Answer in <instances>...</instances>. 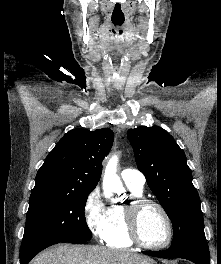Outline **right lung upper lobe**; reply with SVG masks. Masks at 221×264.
I'll use <instances>...</instances> for the list:
<instances>
[{
    "mask_svg": "<svg viewBox=\"0 0 221 264\" xmlns=\"http://www.w3.org/2000/svg\"><path fill=\"white\" fill-rule=\"evenodd\" d=\"M113 139V131L108 128L69 131L38 170L32 192H91L100 180L102 161L109 153Z\"/></svg>",
    "mask_w": 221,
    "mask_h": 264,
    "instance_id": "1",
    "label": "right lung upper lobe"
}]
</instances>
